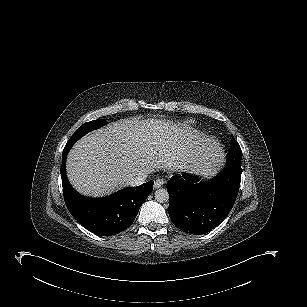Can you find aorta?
I'll use <instances>...</instances> for the list:
<instances>
[{
  "label": "aorta",
  "instance_id": "aorta-1",
  "mask_svg": "<svg viewBox=\"0 0 307 307\" xmlns=\"http://www.w3.org/2000/svg\"><path fill=\"white\" fill-rule=\"evenodd\" d=\"M155 200L159 203H165L169 201V193L167 189L160 188L157 189L154 193Z\"/></svg>",
  "mask_w": 307,
  "mask_h": 307
}]
</instances>
